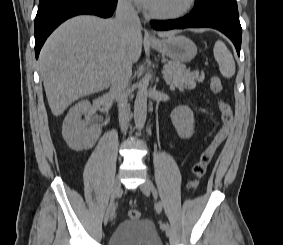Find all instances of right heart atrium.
Returning <instances> with one entry per match:
<instances>
[{
	"label": "right heart atrium",
	"instance_id": "obj_1",
	"mask_svg": "<svg viewBox=\"0 0 283 245\" xmlns=\"http://www.w3.org/2000/svg\"><path fill=\"white\" fill-rule=\"evenodd\" d=\"M119 2L124 6V7H131V2L132 0H119Z\"/></svg>",
	"mask_w": 283,
	"mask_h": 245
}]
</instances>
